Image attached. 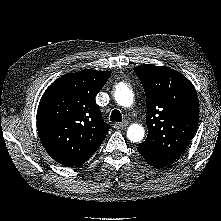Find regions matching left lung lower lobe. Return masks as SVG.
<instances>
[{"label":"left lung lower lobe","instance_id":"obj_1","mask_svg":"<svg viewBox=\"0 0 221 221\" xmlns=\"http://www.w3.org/2000/svg\"><path fill=\"white\" fill-rule=\"evenodd\" d=\"M144 158H145V160H146L151 166H154V167H156V168H162V167L168 166V165H164V164L158 163V162H156V161H153V160H151V159H148V158H146V157H144Z\"/></svg>","mask_w":221,"mask_h":221}]
</instances>
